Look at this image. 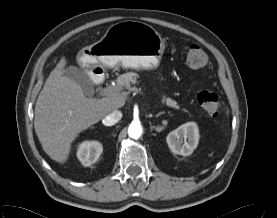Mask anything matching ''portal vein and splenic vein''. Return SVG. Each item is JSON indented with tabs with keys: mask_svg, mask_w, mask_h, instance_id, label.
Listing matches in <instances>:
<instances>
[{
	"mask_svg": "<svg viewBox=\"0 0 277 218\" xmlns=\"http://www.w3.org/2000/svg\"><path fill=\"white\" fill-rule=\"evenodd\" d=\"M134 90H135L137 93H141V90H140V89H134ZM116 91H118L117 88L112 87V86H108V87H105L104 89H102V91L100 92V94L108 95V94L115 93Z\"/></svg>",
	"mask_w": 277,
	"mask_h": 218,
	"instance_id": "18ae733b",
	"label": "portal vein and splenic vein"
}]
</instances>
